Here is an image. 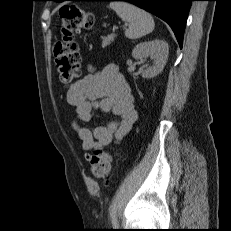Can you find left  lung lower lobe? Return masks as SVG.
I'll return each instance as SVG.
<instances>
[{"instance_id": "0a47b994", "label": "left lung lower lobe", "mask_w": 231, "mask_h": 231, "mask_svg": "<svg viewBox=\"0 0 231 231\" xmlns=\"http://www.w3.org/2000/svg\"><path fill=\"white\" fill-rule=\"evenodd\" d=\"M66 1V0H62ZM127 1L158 16L169 24L182 47L188 12L193 0H88Z\"/></svg>"}]
</instances>
